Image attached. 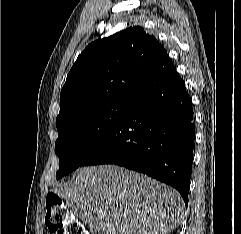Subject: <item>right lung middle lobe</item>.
I'll list each match as a JSON object with an SVG mask.
<instances>
[{"instance_id": "1", "label": "right lung middle lobe", "mask_w": 241, "mask_h": 234, "mask_svg": "<svg viewBox=\"0 0 241 234\" xmlns=\"http://www.w3.org/2000/svg\"><path fill=\"white\" fill-rule=\"evenodd\" d=\"M130 104L107 103L85 108L57 127L55 150L59 157V179L81 167L123 120Z\"/></svg>"}]
</instances>
